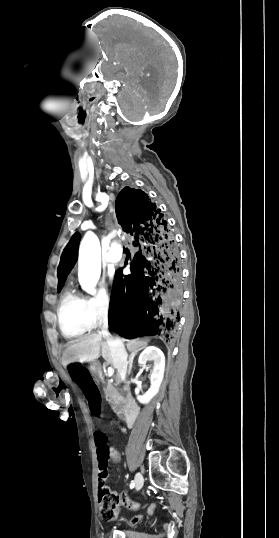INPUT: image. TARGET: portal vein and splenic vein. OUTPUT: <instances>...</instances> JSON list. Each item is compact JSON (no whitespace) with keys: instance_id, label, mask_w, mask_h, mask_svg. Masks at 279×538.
Instances as JSON below:
<instances>
[{"instance_id":"portal-vein-and-splenic-vein-1","label":"portal vein and splenic vein","mask_w":279,"mask_h":538,"mask_svg":"<svg viewBox=\"0 0 279 538\" xmlns=\"http://www.w3.org/2000/svg\"><path fill=\"white\" fill-rule=\"evenodd\" d=\"M113 374H114L113 368H108V376H109V378H110V376H113Z\"/></svg>"}]
</instances>
